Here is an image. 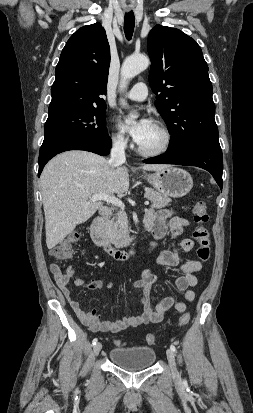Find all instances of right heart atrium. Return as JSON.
<instances>
[{"instance_id": "obj_1", "label": "right heart atrium", "mask_w": 253, "mask_h": 413, "mask_svg": "<svg viewBox=\"0 0 253 413\" xmlns=\"http://www.w3.org/2000/svg\"><path fill=\"white\" fill-rule=\"evenodd\" d=\"M111 140L114 146L123 148L127 145V138L122 131H115L112 136Z\"/></svg>"}]
</instances>
